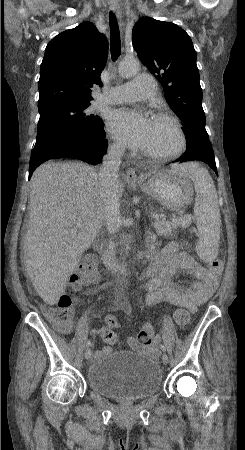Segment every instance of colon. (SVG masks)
Wrapping results in <instances>:
<instances>
[{"label": "colon", "instance_id": "1", "mask_svg": "<svg viewBox=\"0 0 245 450\" xmlns=\"http://www.w3.org/2000/svg\"><path fill=\"white\" fill-rule=\"evenodd\" d=\"M210 268L212 271H220L222 269V261L220 259L213 260L210 264ZM83 277L87 281H94L98 277V267L96 265L95 257L92 254H87L79 264L70 280L71 287L76 288ZM70 305L71 298L68 295H62L59 297L55 306L46 310L47 319L52 322L58 330L63 332L68 331L72 326ZM173 316L176 323L180 326H185L189 323L190 313L183 306L176 308ZM116 322L117 319L113 316H107L105 319L107 329L103 333V340L107 344L114 345L118 342L117 334L111 330V327L115 325ZM153 336V326L146 324L138 332L136 339L141 345H149L152 342Z\"/></svg>", "mask_w": 245, "mask_h": 450}]
</instances>
